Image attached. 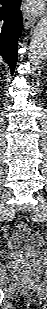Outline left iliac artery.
Wrapping results in <instances>:
<instances>
[{"label": "left iliac artery", "mask_w": 47, "mask_h": 309, "mask_svg": "<svg viewBox=\"0 0 47 309\" xmlns=\"http://www.w3.org/2000/svg\"><path fill=\"white\" fill-rule=\"evenodd\" d=\"M46 216H47V214H46V213H44L43 219H45V218H46Z\"/></svg>", "instance_id": "1"}]
</instances>
